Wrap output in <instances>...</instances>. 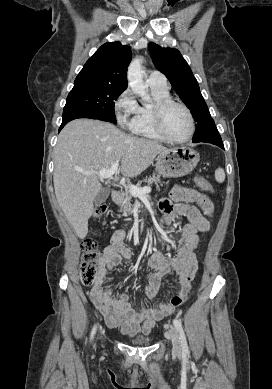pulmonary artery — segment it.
I'll return each mask as SVG.
<instances>
[{"mask_svg":"<svg viewBox=\"0 0 272 389\" xmlns=\"http://www.w3.org/2000/svg\"><path fill=\"white\" fill-rule=\"evenodd\" d=\"M146 82L150 87L168 89L166 78L157 71H150L147 75Z\"/></svg>","mask_w":272,"mask_h":389,"instance_id":"e3ab8cb5","label":"pulmonary artery"}]
</instances>
